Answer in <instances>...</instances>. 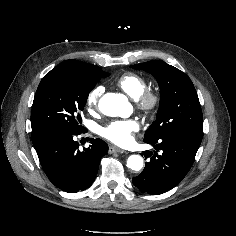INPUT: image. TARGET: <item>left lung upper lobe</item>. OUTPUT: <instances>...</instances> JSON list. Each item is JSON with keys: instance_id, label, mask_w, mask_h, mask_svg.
<instances>
[{"instance_id": "obj_1", "label": "left lung upper lobe", "mask_w": 236, "mask_h": 236, "mask_svg": "<svg viewBox=\"0 0 236 236\" xmlns=\"http://www.w3.org/2000/svg\"><path fill=\"white\" fill-rule=\"evenodd\" d=\"M152 74L160 87V106L156 120L145 133L151 139L171 133L203 137V116L198 95L190 78L161 60L132 65Z\"/></svg>"}]
</instances>
